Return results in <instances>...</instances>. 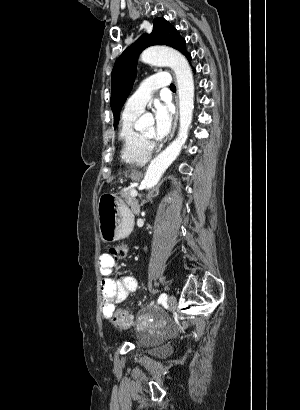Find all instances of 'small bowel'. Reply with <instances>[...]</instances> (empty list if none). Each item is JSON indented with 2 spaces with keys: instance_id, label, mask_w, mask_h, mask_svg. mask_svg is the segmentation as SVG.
<instances>
[{
  "instance_id": "c3829d8e",
  "label": "small bowel",
  "mask_w": 300,
  "mask_h": 410,
  "mask_svg": "<svg viewBox=\"0 0 300 410\" xmlns=\"http://www.w3.org/2000/svg\"><path fill=\"white\" fill-rule=\"evenodd\" d=\"M98 264L101 273L100 289L103 297L101 310L103 316L108 318L115 310L116 305L136 291L137 281L135 277L126 273L113 278L112 272L116 266V261L108 253L99 256Z\"/></svg>"
}]
</instances>
